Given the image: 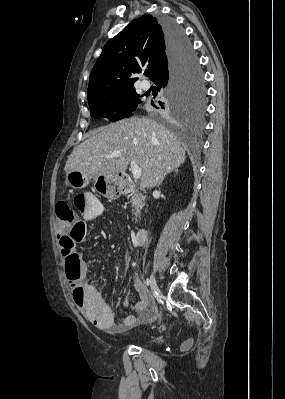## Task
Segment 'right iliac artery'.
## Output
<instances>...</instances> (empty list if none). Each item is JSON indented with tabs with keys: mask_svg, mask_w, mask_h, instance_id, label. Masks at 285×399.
I'll use <instances>...</instances> for the list:
<instances>
[{
	"mask_svg": "<svg viewBox=\"0 0 285 399\" xmlns=\"http://www.w3.org/2000/svg\"><path fill=\"white\" fill-rule=\"evenodd\" d=\"M145 284H146L147 286L150 285V280H149L148 278L146 279Z\"/></svg>",
	"mask_w": 285,
	"mask_h": 399,
	"instance_id": "1",
	"label": "right iliac artery"
}]
</instances>
